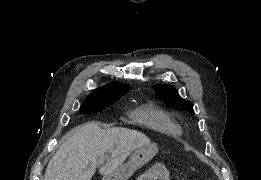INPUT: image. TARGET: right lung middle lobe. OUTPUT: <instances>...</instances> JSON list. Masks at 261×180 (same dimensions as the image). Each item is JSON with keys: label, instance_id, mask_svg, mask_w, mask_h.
Returning a JSON list of instances; mask_svg holds the SVG:
<instances>
[{"label": "right lung middle lobe", "instance_id": "dd1d6c3e", "mask_svg": "<svg viewBox=\"0 0 261 180\" xmlns=\"http://www.w3.org/2000/svg\"><path fill=\"white\" fill-rule=\"evenodd\" d=\"M121 98L119 97H107V98H87L80 107L82 113H94L105 109L107 106L113 104Z\"/></svg>", "mask_w": 261, "mask_h": 180}]
</instances>
